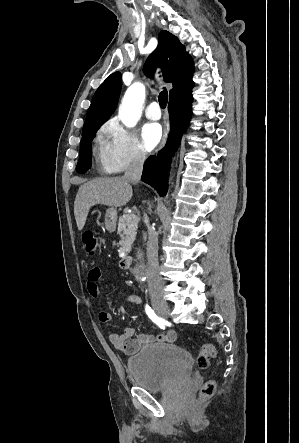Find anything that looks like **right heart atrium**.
<instances>
[{"label":"right heart atrium","instance_id":"1","mask_svg":"<svg viewBox=\"0 0 299 443\" xmlns=\"http://www.w3.org/2000/svg\"><path fill=\"white\" fill-rule=\"evenodd\" d=\"M106 145V156L113 172L141 167L146 154L136 134L116 120H110L100 129Z\"/></svg>","mask_w":299,"mask_h":443}]
</instances>
